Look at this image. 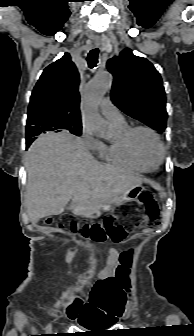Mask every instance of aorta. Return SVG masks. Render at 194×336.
<instances>
[{
	"instance_id": "obj_1",
	"label": "aorta",
	"mask_w": 194,
	"mask_h": 336,
	"mask_svg": "<svg viewBox=\"0 0 194 336\" xmlns=\"http://www.w3.org/2000/svg\"><path fill=\"white\" fill-rule=\"evenodd\" d=\"M112 76L108 72L96 75L86 86L82 100V122L86 130L99 138L109 140L113 131L98 111L101 98L111 88Z\"/></svg>"
}]
</instances>
